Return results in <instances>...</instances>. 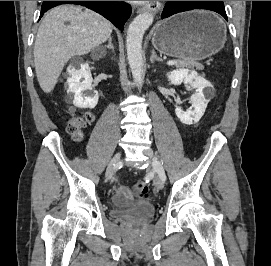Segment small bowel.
Here are the masks:
<instances>
[{
    "instance_id": "1",
    "label": "small bowel",
    "mask_w": 271,
    "mask_h": 266,
    "mask_svg": "<svg viewBox=\"0 0 271 266\" xmlns=\"http://www.w3.org/2000/svg\"><path fill=\"white\" fill-rule=\"evenodd\" d=\"M133 199V195L126 186H120L114 195V202L118 205L127 203Z\"/></svg>"
}]
</instances>
